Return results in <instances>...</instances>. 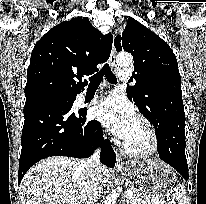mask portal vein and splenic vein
<instances>
[{"label":"portal vein and splenic vein","instance_id":"1","mask_svg":"<svg viewBox=\"0 0 206 204\" xmlns=\"http://www.w3.org/2000/svg\"><path fill=\"white\" fill-rule=\"evenodd\" d=\"M134 192L130 189H128L126 191V195L127 196H133ZM148 204H159V200L158 199H154L152 202H149Z\"/></svg>","mask_w":206,"mask_h":204}]
</instances>
